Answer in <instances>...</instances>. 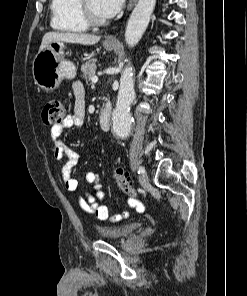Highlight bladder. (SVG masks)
<instances>
[{"label": "bladder", "instance_id": "31cf9c89", "mask_svg": "<svg viewBox=\"0 0 247 296\" xmlns=\"http://www.w3.org/2000/svg\"><path fill=\"white\" fill-rule=\"evenodd\" d=\"M140 226L139 222H131L116 226H106L97 228V233L106 239H122L136 231Z\"/></svg>", "mask_w": 247, "mask_h": 296}]
</instances>
